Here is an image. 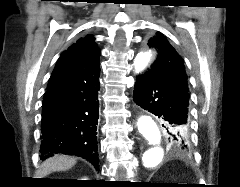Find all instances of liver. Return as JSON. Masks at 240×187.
I'll list each match as a JSON object with an SVG mask.
<instances>
[{"mask_svg":"<svg viewBox=\"0 0 240 187\" xmlns=\"http://www.w3.org/2000/svg\"><path fill=\"white\" fill-rule=\"evenodd\" d=\"M76 164V158L68 155H55L45 160L38 171V176H46L53 171H64Z\"/></svg>","mask_w":240,"mask_h":187,"instance_id":"1","label":"liver"}]
</instances>
